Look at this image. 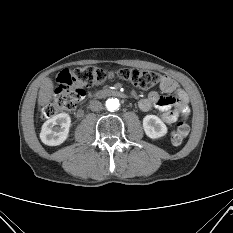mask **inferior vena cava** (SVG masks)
Segmentation results:
<instances>
[{"label":"inferior vena cava","mask_w":233,"mask_h":233,"mask_svg":"<svg viewBox=\"0 0 233 233\" xmlns=\"http://www.w3.org/2000/svg\"><path fill=\"white\" fill-rule=\"evenodd\" d=\"M89 107L92 111H100L103 108L102 103L97 100L91 101Z\"/></svg>","instance_id":"602c4592"}]
</instances>
